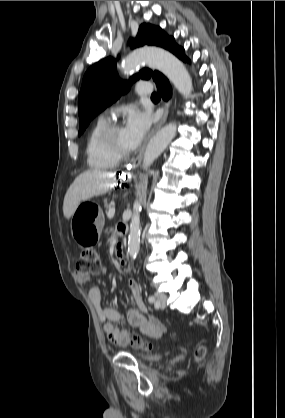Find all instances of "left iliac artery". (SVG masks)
<instances>
[{"label": "left iliac artery", "mask_w": 285, "mask_h": 418, "mask_svg": "<svg viewBox=\"0 0 285 418\" xmlns=\"http://www.w3.org/2000/svg\"><path fill=\"white\" fill-rule=\"evenodd\" d=\"M148 302L149 303H154L155 302V298L153 296H149L148 297Z\"/></svg>", "instance_id": "44dca946"}]
</instances>
